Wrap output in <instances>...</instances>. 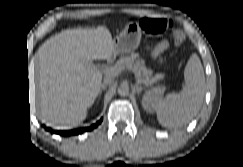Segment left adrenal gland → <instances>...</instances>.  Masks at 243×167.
<instances>
[{"instance_id":"left-adrenal-gland-1","label":"left adrenal gland","mask_w":243,"mask_h":167,"mask_svg":"<svg viewBox=\"0 0 243 167\" xmlns=\"http://www.w3.org/2000/svg\"><path fill=\"white\" fill-rule=\"evenodd\" d=\"M134 90L136 91V93L139 95L141 93V91L143 90L142 86H139L138 84H136L134 86Z\"/></svg>"}]
</instances>
